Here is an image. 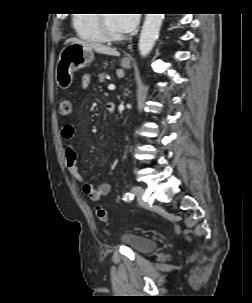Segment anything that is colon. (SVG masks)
<instances>
[{"mask_svg":"<svg viewBox=\"0 0 252 303\" xmlns=\"http://www.w3.org/2000/svg\"><path fill=\"white\" fill-rule=\"evenodd\" d=\"M59 110L61 115L68 116L72 112V102L68 98L61 99L59 103ZM96 215L99 220L106 221L107 220V212L102 206L96 207Z\"/></svg>","mask_w":252,"mask_h":303,"instance_id":"colon-1","label":"colon"}]
</instances>
